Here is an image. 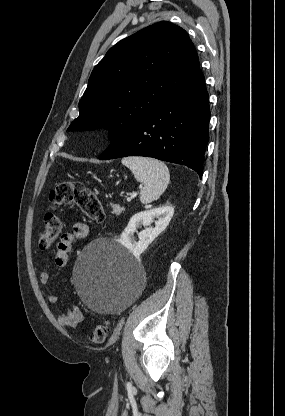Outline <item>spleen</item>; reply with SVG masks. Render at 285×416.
I'll use <instances>...</instances> for the list:
<instances>
[{"instance_id": "spleen-1", "label": "spleen", "mask_w": 285, "mask_h": 416, "mask_svg": "<svg viewBox=\"0 0 285 416\" xmlns=\"http://www.w3.org/2000/svg\"><path fill=\"white\" fill-rule=\"evenodd\" d=\"M121 162L131 170L134 178L143 186L140 192L141 204H151L162 196L170 182L169 170L163 162L154 158H138V156L123 158Z\"/></svg>"}]
</instances>
